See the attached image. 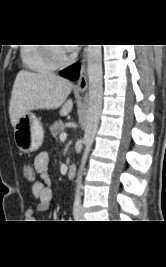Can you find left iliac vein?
<instances>
[{
	"instance_id": "obj_1",
	"label": "left iliac vein",
	"mask_w": 166,
	"mask_h": 267,
	"mask_svg": "<svg viewBox=\"0 0 166 267\" xmlns=\"http://www.w3.org/2000/svg\"><path fill=\"white\" fill-rule=\"evenodd\" d=\"M79 217L81 220H84V210L82 207L80 208V216Z\"/></svg>"
}]
</instances>
